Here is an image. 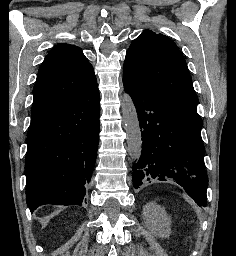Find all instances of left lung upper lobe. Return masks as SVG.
<instances>
[{
    "mask_svg": "<svg viewBox=\"0 0 236 256\" xmlns=\"http://www.w3.org/2000/svg\"><path fill=\"white\" fill-rule=\"evenodd\" d=\"M123 78L196 109L198 98L182 53L167 36L145 30L130 45Z\"/></svg>",
    "mask_w": 236,
    "mask_h": 256,
    "instance_id": "obj_1",
    "label": "left lung upper lobe"
}]
</instances>
